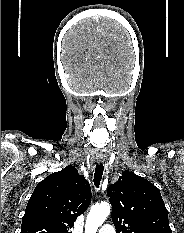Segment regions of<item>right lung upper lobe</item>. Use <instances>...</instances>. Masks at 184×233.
Masks as SVG:
<instances>
[{
    "label": "right lung upper lobe",
    "instance_id": "obj_1",
    "mask_svg": "<svg viewBox=\"0 0 184 233\" xmlns=\"http://www.w3.org/2000/svg\"><path fill=\"white\" fill-rule=\"evenodd\" d=\"M84 176L69 165L38 183L22 218L21 233H71L76 218L91 202Z\"/></svg>",
    "mask_w": 184,
    "mask_h": 233
}]
</instances>
